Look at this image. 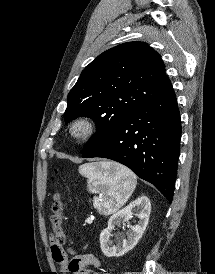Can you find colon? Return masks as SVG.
Returning <instances> with one entry per match:
<instances>
[{
    "label": "colon",
    "instance_id": "5ec220e1",
    "mask_svg": "<svg viewBox=\"0 0 215 274\" xmlns=\"http://www.w3.org/2000/svg\"><path fill=\"white\" fill-rule=\"evenodd\" d=\"M65 211V202L60 193H56L53 198L52 204V216H51V224L53 233L51 235V240L63 244L64 243V235L62 232V224H63V214Z\"/></svg>",
    "mask_w": 215,
    "mask_h": 274
}]
</instances>
